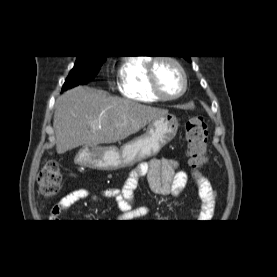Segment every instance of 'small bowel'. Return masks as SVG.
Instances as JSON below:
<instances>
[{"instance_id":"small-bowel-1","label":"small bowel","mask_w":277,"mask_h":277,"mask_svg":"<svg viewBox=\"0 0 277 277\" xmlns=\"http://www.w3.org/2000/svg\"><path fill=\"white\" fill-rule=\"evenodd\" d=\"M178 161L174 159H152L138 165L127 178L122 189H104L95 194L87 189H75L64 195L51 209L49 222H58L69 209L77 202L90 200L103 203L113 200L116 206L123 211L120 219L133 220L146 216L149 209L135 204L134 190L139 178L147 177L152 191L161 196L179 197L183 192L188 175L178 169ZM201 205L197 212L198 220H208L213 216L216 204V192L210 182L202 175L195 177Z\"/></svg>"}]
</instances>
